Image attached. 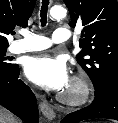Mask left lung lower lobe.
<instances>
[{
	"label": "left lung lower lobe",
	"mask_w": 118,
	"mask_h": 123,
	"mask_svg": "<svg viewBox=\"0 0 118 123\" xmlns=\"http://www.w3.org/2000/svg\"><path fill=\"white\" fill-rule=\"evenodd\" d=\"M95 96L89 106L66 115L61 123H76L94 118L118 120V76L112 77L101 89L95 90Z\"/></svg>",
	"instance_id": "left-lung-lower-lobe-1"
}]
</instances>
